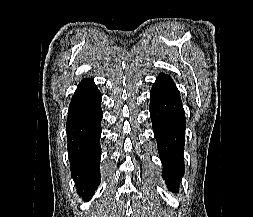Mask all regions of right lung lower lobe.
Instances as JSON below:
<instances>
[{
	"mask_svg": "<svg viewBox=\"0 0 253 217\" xmlns=\"http://www.w3.org/2000/svg\"><path fill=\"white\" fill-rule=\"evenodd\" d=\"M102 96L91 79L82 80L75 91L67 120L68 154L77 190L89 197L100 183V136Z\"/></svg>",
	"mask_w": 253,
	"mask_h": 217,
	"instance_id": "obj_1",
	"label": "right lung lower lobe"
}]
</instances>
